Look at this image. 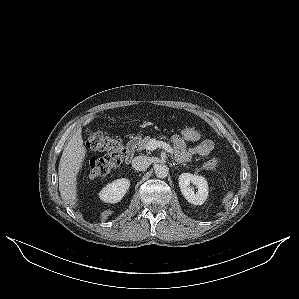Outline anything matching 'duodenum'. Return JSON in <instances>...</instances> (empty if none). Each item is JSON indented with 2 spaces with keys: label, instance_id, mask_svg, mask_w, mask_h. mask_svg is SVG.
Wrapping results in <instances>:
<instances>
[{
  "label": "duodenum",
  "instance_id": "410a0bca",
  "mask_svg": "<svg viewBox=\"0 0 299 299\" xmlns=\"http://www.w3.org/2000/svg\"><path fill=\"white\" fill-rule=\"evenodd\" d=\"M135 145H136L135 140H130L127 142L124 149V157L126 163H130V161L132 160L135 152Z\"/></svg>",
  "mask_w": 299,
  "mask_h": 299
}]
</instances>
